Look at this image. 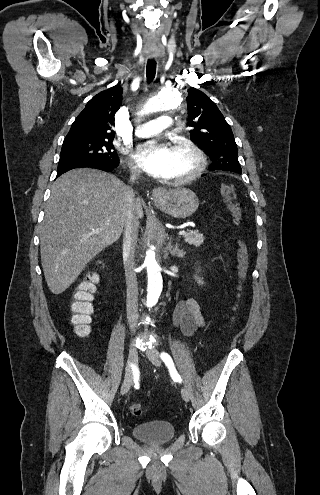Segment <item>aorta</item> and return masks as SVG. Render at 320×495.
<instances>
[{
	"mask_svg": "<svg viewBox=\"0 0 320 495\" xmlns=\"http://www.w3.org/2000/svg\"><path fill=\"white\" fill-rule=\"evenodd\" d=\"M181 97L175 89H163L158 96L150 98L139 115H148L158 111L175 109L181 104ZM165 242L164 229L155 223L148 231V243L143 253L142 264L147 269V306H154L162 292L163 280L159 269L160 249Z\"/></svg>",
	"mask_w": 320,
	"mask_h": 495,
	"instance_id": "obj_1",
	"label": "aorta"
}]
</instances>
